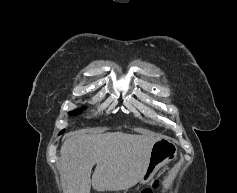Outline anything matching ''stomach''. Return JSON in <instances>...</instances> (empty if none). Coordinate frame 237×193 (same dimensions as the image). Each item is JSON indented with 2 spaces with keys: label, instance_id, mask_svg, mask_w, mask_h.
Here are the masks:
<instances>
[{
  "label": "stomach",
  "instance_id": "stomach-1",
  "mask_svg": "<svg viewBox=\"0 0 237 193\" xmlns=\"http://www.w3.org/2000/svg\"><path fill=\"white\" fill-rule=\"evenodd\" d=\"M177 146L167 139H160L151 148L148 162L139 180L140 184H146L160 167L173 161L177 157Z\"/></svg>",
  "mask_w": 237,
  "mask_h": 193
}]
</instances>
